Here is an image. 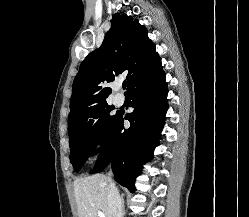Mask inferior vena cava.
Instances as JSON below:
<instances>
[{
    "instance_id": "obj_1",
    "label": "inferior vena cava",
    "mask_w": 249,
    "mask_h": 217,
    "mask_svg": "<svg viewBox=\"0 0 249 217\" xmlns=\"http://www.w3.org/2000/svg\"><path fill=\"white\" fill-rule=\"evenodd\" d=\"M108 209L109 217H122V200L118 190L111 179V173L108 174Z\"/></svg>"
}]
</instances>
